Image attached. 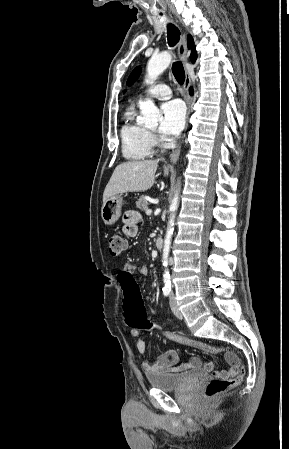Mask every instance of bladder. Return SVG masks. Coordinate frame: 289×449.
<instances>
[{"mask_svg":"<svg viewBox=\"0 0 289 449\" xmlns=\"http://www.w3.org/2000/svg\"><path fill=\"white\" fill-rule=\"evenodd\" d=\"M205 376V371L195 369L186 373H158L148 374L147 380L149 384L163 391H173L187 386L188 384Z\"/></svg>","mask_w":289,"mask_h":449,"instance_id":"bladder-1","label":"bladder"}]
</instances>
